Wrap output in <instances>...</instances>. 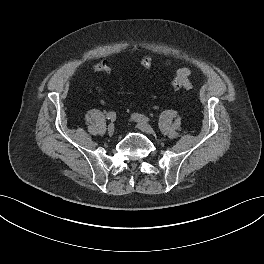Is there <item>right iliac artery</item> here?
<instances>
[{"label": "right iliac artery", "mask_w": 264, "mask_h": 264, "mask_svg": "<svg viewBox=\"0 0 264 264\" xmlns=\"http://www.w3.org/2000/svg\"><path fill=\"white\" fill-rule=\"evenodd\" d=\"M116 117V113L115 112H109L107 115H106V118L107 119H110V120H114Z\"/></svg>", "instance_id": "right-iliac-artery-1"}]
</instances>
